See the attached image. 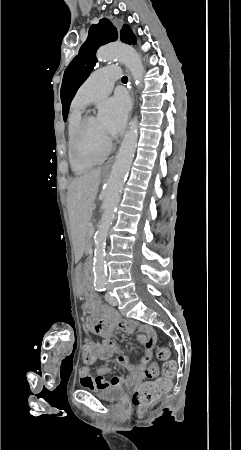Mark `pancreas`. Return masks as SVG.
<instances>
[{
	"label": "pancreas",
	"instance_id": "1",
	"mask_svg": "<svg viewBox=\"0 0 241 450\" xmlns=\"http://www.w3.org/2000/svg\"><path fill=\"white\" fill-rule=\"evenodd\" d=\"M90 228H94V227H91V226L88 227V229H87L88 232H87V234H86V235H87V237H86V242H91V237H92V236L90 235ZM94 231H95V228H94ZM94 231H93V232H94ZM87 249H88V250H91V249H92V246H91V245H88V246H87Z\"/></svg>",
	"mask_w": 241,
	"mask_h": 450
}]
</instances>
